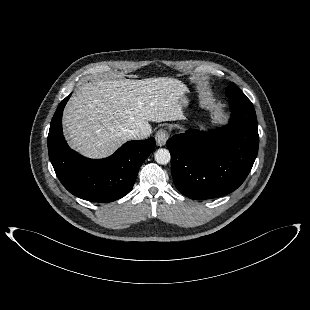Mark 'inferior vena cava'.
<instances>
[{
    "label": "inferior vena cava",
    "mask_w": 310,
    "mask_h": 310,
    "mask_svg": "<svg viewBox=\"0 0 310 310\" xmlns=\"http://www.w3.org/2000/svg\"><path fill=\"white\" fill-rule=\"evenodd\" d=\"M127 135L129 139H145L148 137L145 132H142L139 129L128 130Z\"/></svg>",
    "instance_id": "inferior-vena-cava-1"
}]
</instances>
